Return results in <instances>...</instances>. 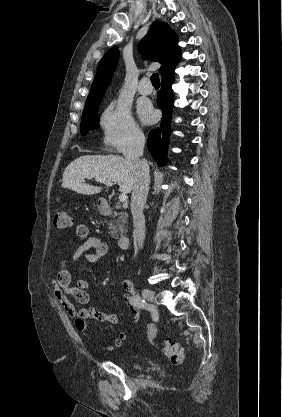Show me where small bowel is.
Here are the masks:
<instances>
[{
	"label": "small bowel",
	"instance_id": "1",
	"mask_svg": "<svg viewBox=\"0 0 282 417\" xmlns=\"http://www.w3.org/2000/svg\"><path fill=\"white\" fill-rule=\"evenodd\" d=\"M75 233L83 242L73 252V262L77 263L81 259H85L88 262H97L108 254L109 245L100 237L90 236L87 225L83 223L77 224ZM53 287L54 297L59 301L66 313L75 319L74 324L77 331L85 332L87 330V319L110 325L117 324L118 316L114 313H105L94 307L77 308L75 306L71 297L79 304H87L89 302V295L86 291L88 283L86 280L78 278L75 286H71V273L66 268L65 261L60 263V270L53 279ZM121 287L132 314L133 324H136L140 320V308L133 302L135 296L133 284L129 279H124L121 282ZM129 335L130 329L121 330L108 345L102 347V350L113 351L119 348L128 339Z\"/></svg>",
	"mask_w": 282,
	"mask_h": 417
}]
</instances>
